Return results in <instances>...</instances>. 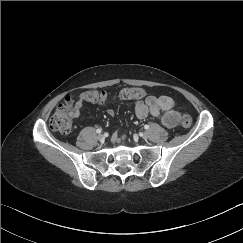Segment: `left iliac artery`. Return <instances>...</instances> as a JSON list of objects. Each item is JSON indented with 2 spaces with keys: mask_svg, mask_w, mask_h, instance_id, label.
Listing matches in <instances>:
<instances>
[{
  "mask_svg": "<svg viewBox=\"0 0 243 243\" xmlns=\"http://www.w3.org/2000/svg\"><path fill=\"white\" fill-rule=\"evenodd\" d=\"M144 128H145V129H149V125H147V124L144 125Z\"/></svg>",
  "mask_w": 243,
  "mask_h": 243,
  "instance_id": "left-iliac-artery-1",
  "label": "left iliac artery"
}]
</instances>
